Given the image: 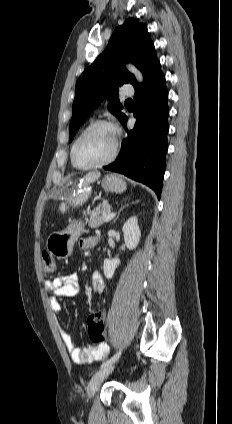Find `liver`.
Segmentation results:
<instances>
[{
	"instance_id": "6515ba94",
	"label": "liver",
	"mask_w": 232,
	"mask_h": 424,
	"mask_svg": "<svg viewBox=\"0 0 232 424\" xmlns=\"http://www.w3.org/2000/svg\"><path fill=\"white\" fill-rule=\"evenodd\" d=\"M100 176L101 173L99 171H92L85 175L82 184L83 188H81L80 190L78 188H64L66 189V191L61 194V196L65 198L66 202L61 203V205L59 206V210L62 213H65L68 209L67 203H69L73 207L83 205L91 195L92 187L90 186V184L98 180Z\"/></svg>"
}]
</instances>
